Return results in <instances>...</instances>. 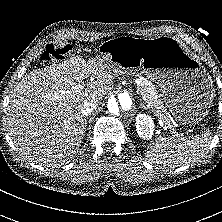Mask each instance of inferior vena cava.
Instances as JSON below:
<instances>
[{
	"mask_svg": "<svg viewBox=\"0 0 222 222\" xmlns=\"http://www.w3.org/2000/svg\"><path fill=\"white\" fill-rule=\"evenodd\" d=\"M97 108V103L94 99L86 100L81 108V114L88 116Z\"/></svg>",
	"mask_w": 222,
	"mask_h": 222,
	"instance_id": "1",
	"label": "inferior vena cava"
}]
</instances>
